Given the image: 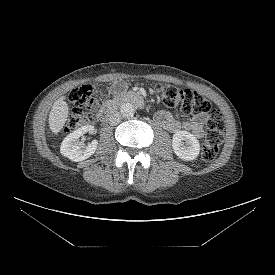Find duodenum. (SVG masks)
Instances as JSON below:
<instances>
[{
  "label": "duodenum",
  "instance_id": "obj_1",
  "mask_svg": "<svg viewBox=\"0 0 275 275\" xmlns=\"http://www.w3.org/2000/svg\"><path fill=\"white\" fill-rule=\"evenodd\" d=\"M124 103H131L140 108L144 105L143 98L138 93L128 92L122 94L104 104L98 114L99 121L102 123L106 122L114 114L117 108Z\"/></svg>",
  "mask_w": 275,
  "mask_h": 275
}]
</instances>
